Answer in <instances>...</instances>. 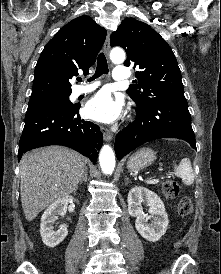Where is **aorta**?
<instances>
[{"label":"aorta","mask_w":221,"mask_h":274,"mask_svg":"<svg viewBox=\"0 0 221 274\" xmlns=\"http://www.w3.org/2000/svg\"><path fill=\"white\" fill-rule=\"evenodd\" d=\"M110 58L114 63H123L126 55L123 49L114 48L110 53ZM99 162L105 174H112L115 168V154L109 145H104L100 151Z\"/></svg>","instance_id":"aorta-1"}]
</instances>
